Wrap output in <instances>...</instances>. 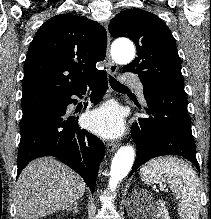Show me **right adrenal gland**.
Wrapping results in <instances>:
<instances>
[{
	"mask_svg": "<svg viewBox=\"0 0 211 219\" xmlns=\"http://www.w3.org/2000/svg\"><path fill=\"white\" fill-rule=\"evenodd\" d=\"M78 205H79V202H75L74 207L68 208V209H66V211H73L75 213H78L79 212Z\"/></svg>",
	"mask_w": 211,
	"mask_h": 219,
	"instance_id": "1",
	"label": "right adrenal gland"
}]
</instances>
